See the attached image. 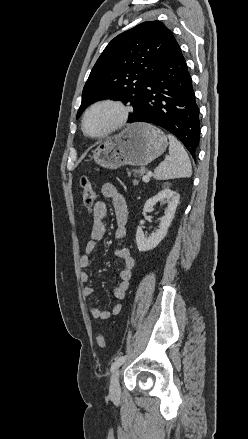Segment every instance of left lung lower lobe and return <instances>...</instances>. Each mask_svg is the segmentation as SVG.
Masks as SVG:
<instances>
[{
  "label": "left lung lower lobe",
  "instance_id": "obj_1",
  "mask_svg": "<svg viewBox=\"0 0 248 439\" xmlns=\"http://www.w3.org/2000/svg\"><path fill=\"white\" fill-rule=\"evenodd\" d=\"M128 122H147L168 130L196 159L200 138L199 109L178 43L148 83L138 110Z\"/></svg>",
  "mask_w": 248,
  "mask_h": 439
}]
</instances>
